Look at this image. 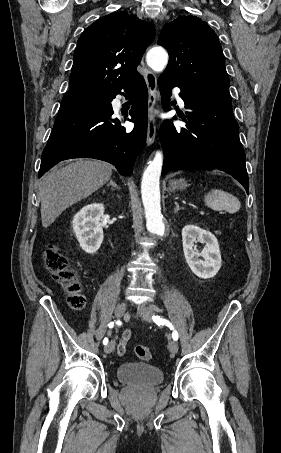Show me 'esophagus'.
Listing matches in <instances>:
<instances>
[{
  "instance_id": "obj_1",
  "label": "esophagus",
  "mask_w": 281,
  "mask_h": 453,
  "mask_svg": "<svg viewBox=\"0 0 281 453\" xmlns=\"http://www.w3.org/2000/svg\"><path fill=\"white\" fill-rule=\"evenodd\" d=\"M142 66L144 68V79L149 94L148 129L146 143L147 145H152L156 135L155 105L157 100V78L155 74L145 66L144 61H142Z\"/></svg>"
}]
</instances>
